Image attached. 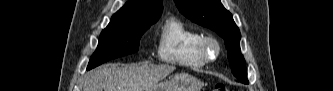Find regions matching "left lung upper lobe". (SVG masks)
Returning a JSON list of instances; mask_svg holds the SVG:
<instances>
[{"instance_id": "left-lung-upper-lobe-1", "label": "left lung upper lobe", "mask_w": 333, "mask_h": 91, "mask_svg": "<svg viewBox=\"0 0 333 91\" xmlns=\"http://www.w3.org/2000/svg\"><path fill=\"white\" fill-rule=\"evenodd\" d=\"M179 11L191 21L215 31L225 40L231 71L248 83L245 59L240 50V31L220 0H174Z\"/></svg>"}]
</instances>
